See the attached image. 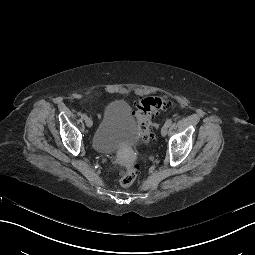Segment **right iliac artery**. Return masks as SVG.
Segmentation results:
<instances>
[{"label": "right iliac artery", "mask_w": 255, "mask_h": 255, "mask_svg": "<svg viewBox=\"0 0 255 255\" xmlns=\"http://www.w3.org/2000/svg\"><path fill=\"white\" fill-rule=\"evenodd\" d=\"M81 118H82V119H86V118H87V115H86V114H82V115H81Z\"/></svg>", "instance_id": "right-iliac-artery-1"}]
</instances>
